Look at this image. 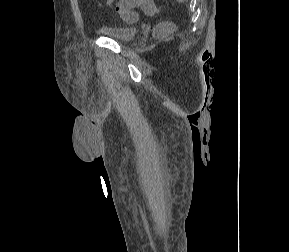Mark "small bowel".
Listing matches in <instances>:
<instances>
[{
	"label": "small bowel",
	"mask_w": 289,
	"mask_h": 252,
	"mask_svg": "<svg viewBox=\"0 0 289 252\" xmlns=\"http://www.w3.org/2000/svg\"><path fill=\"white\" fill-rule=\"evenodd\" d=\"M103 2L105 3L106 6H112L115 2V0H103Z\"/></svg>",
	"instance_id": "small-bowel-1"
}]
</instances>
